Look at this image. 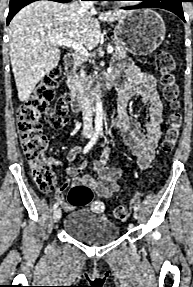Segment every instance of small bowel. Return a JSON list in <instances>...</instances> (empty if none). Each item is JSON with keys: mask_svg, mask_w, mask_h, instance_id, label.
<instances>
[{"mask_svg": "<svg viewBox=\"0 0 193 287\" xmlns=\"http://www.w3.org/2000/svg\"><path fill=\"white\" fill-rule=\"evenodd\" d=\"M112 71L119 88L116 126L121 130L124 142L135 157L138 166L145 169L154 158L163 122V106L156 90V79L151 73L131 64L124 58L113 62ZM134 97H138L143 104L148 106L149 120L144 129L127 110L128 102ZM47 121L50 123V118H47ZM102 147V156L92 164L95 176L80 175L87 166L86 161L78 159L82 150L80 145L72 146L67 153L68 160L78 162V166H66L58 160H51V163L61 169L66 176V179L57 185L58 197L62 198L63 192L75 185L90 187L99 198H109L118 191L122 170L106 166L110 147L107 143H104Z\"/></svg>", "mask_w": 193, "mask_h": 287, "instance_id": "c3829d8e", "label": "small bowel"}]
</instances>
